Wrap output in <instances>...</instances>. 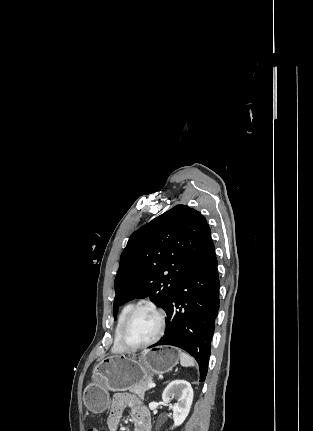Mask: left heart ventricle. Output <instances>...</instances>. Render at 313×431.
I'll return each instance as SVG.
<instances>
[{
  "label": "left heart ventricle",
  "instance_id": "1",
  "mask_svg": "<svg viewBox=\"0 0 313 431\" xmlns=\"http://www.w3.org/2000/svg\"><path fill=\"white\" fill-rule=\"evenodd\" d=\"M159 319L150 309H142L131 320L125 339L131 345H140L151 340L158 332Z\"/></svg>",
  "mask_w": 313,
  "mask_h": 431
}]
</instances>
